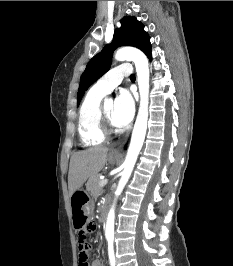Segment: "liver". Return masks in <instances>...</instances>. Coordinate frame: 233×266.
<instances>
[{
	"label": "liver",
	"mask_w": 233,
	"mask_h": 266,
	"mask_svg": "<svg viewBox=\"0 0 233 266\" xmlns=\"http://www.w3.org/2000/svg\"><path fill=\"white\" fill-rule=\"evenodd\" d=\"M109 149L94 147L73 153L68 173L69 194L72 196L87 179L98 175L107 162Z\"/></svg>",
	"instance_id": "obj_1"
}]
</instances>
